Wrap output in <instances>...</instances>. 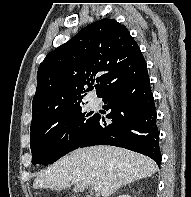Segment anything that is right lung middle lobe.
Returning a JSON list of instances; mask_svg holds the SVG:
<instances>
[{
	"instance_id": "right-lung-middle-lobe-1",
	"label": "right lung middle lobe",
	"mask_w": 191,
	"mask_h": 197,
	"mask_svg": "<svg viewBox=\"0 0 191 197\" xmlns=\"http://www.w3.org/2000/svg\"><path fill=\"white\" fill-rule=\"evenodd\" d=\"M97 115L76 105L31 128L32 163L48 165L77 149Z\"/></svg>"
}]
</instances>
